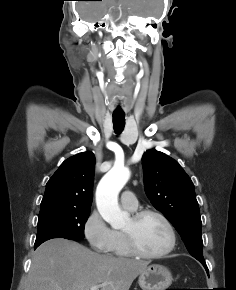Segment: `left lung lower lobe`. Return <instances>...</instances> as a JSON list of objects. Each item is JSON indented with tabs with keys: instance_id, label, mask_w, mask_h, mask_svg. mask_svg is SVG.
<instances>
[{
	"instance_id": "0a47b994",
	"label": "left lung lower lobe",
	"mask_w": 236,
	"mask_h": 290,
	"mask_svg": "<svg viewBox=\"0 0 236 290\" xmlns=\"http://www.w3.org/2000/svg\"><path fill=\"white\" fill-rule=\"evenodd\" d=\"M201 264L204 266V261H201ZM206 271H208V270H206Z\"/></svg>"
}]
</instances>
